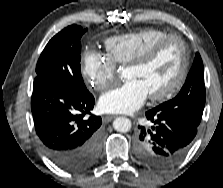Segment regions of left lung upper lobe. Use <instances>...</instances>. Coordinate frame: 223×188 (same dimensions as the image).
<instances>
[{"instance_id": "left-lung-upper-lobe-1", "label": "left lung upper lobe", "mask_w": 223, "mask_h": 188, "mask_svg": "<svg viewBox=\"0 0 223 188\" xmlns=\"http://www.w3.org/2000/svg\"><path fill=\"white\" fill-rule=\"evenodd\" d=\"M205 96L203 62L196 53L192 68L179 94L154 109L171 119L198 127L205 106Z\"/></svg>"}]
</instances>
